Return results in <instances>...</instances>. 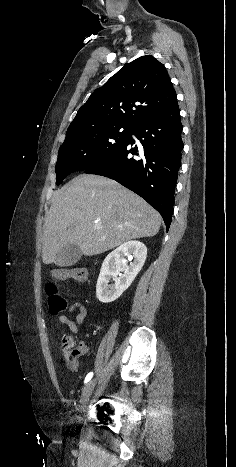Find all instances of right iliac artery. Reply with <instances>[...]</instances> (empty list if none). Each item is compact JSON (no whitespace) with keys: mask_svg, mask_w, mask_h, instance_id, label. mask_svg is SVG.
I'll list each match as a JSON object with an SVG mask.
<instances>
[{"mask_svg":"<svg viewBox=\"0 0 236 467\" xmlns=\"http://www.w3.org/2000/svg\"><path fill=\"white\" fill-rule=\"evenodd\" d=\"M93 377V372H90L87 374L86 378H85V383L89 382L91 380V378Z\"/></svg>","mask_w":236,"mask_h":467,"instance_id":"1","label":"right iliac artery"}]
</instances>
